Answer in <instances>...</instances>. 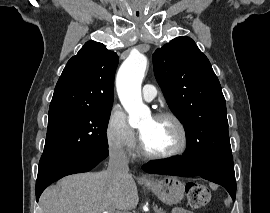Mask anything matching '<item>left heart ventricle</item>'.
I'll list each match as a JSON object with an SVG mask.
<instances>
[{
    "mask_svg": "<svg viewBox=\"0 0 270 213\" xmlns=\"http://www.w3.org/2000/svg\"><path fill=\"white\" fill-rule=\"evenodd\" d=\"M141 140L152 153H167L180 145L181 135L176 125L169 119L145 120L139 127Z\"/></svg>",
    "mask_w": 270,
    "mask_h": 213,
    "instance_id": "obj_1",
    "label": "left heart ventricle"
}]
</instances>
